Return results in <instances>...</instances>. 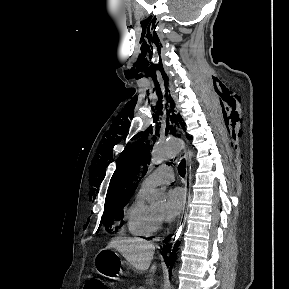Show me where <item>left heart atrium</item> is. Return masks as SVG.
Masks as SVG:
<instances>
[{
    "instance_id": "39dd6f15",
    "label": "left heart atrium",
    "mask_w": 289,
    "mask_h": 289,
    "mask_svg": "<svg viewBox=\"0 0 289 289\" xmlns=\"http://www.w3.org/2000/svg\"><path fill=\"white\" fill-rule=\"evenodd\" d=\"M186 201V195L182 188H173L167 194L162 219L165 221L174 220L182 211Z\"/></svg>"
}]
</instances>
